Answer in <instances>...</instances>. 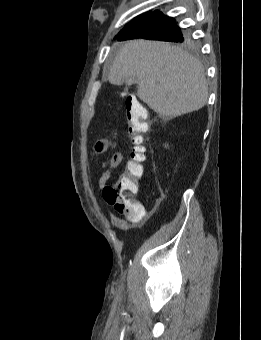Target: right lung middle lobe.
<instances>
[{"label": "right lung middle lobe", "instance_id": "obj_1", "mask_svg": "<svg viewBox=\"0 0 261 340\" xmlns=\"http://www.w3.org/2000/svg\"><path fill=\"white\" fill-rule=\"evenodd\" d=\"M149 12L139 15L136 18H134L130 23H128L121 32L115 37L118 38L123 33H125L128 29H130L133 25H135L138 21H140L143 17H145ZM169 41L171 42H183L185 44H191V39L188 34H184L182 32L176 34L174 37H172Z\"/></svg>", "mask_w": 261, "mask_h": 340}]
</instances>
